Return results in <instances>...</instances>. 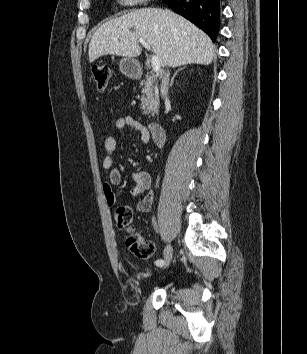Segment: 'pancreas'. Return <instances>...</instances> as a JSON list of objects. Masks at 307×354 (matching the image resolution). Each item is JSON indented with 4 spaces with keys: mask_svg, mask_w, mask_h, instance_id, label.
<instances>
[{
    "mask_svg": "<svg viewBox=\"0 0 307 354\" xmlns=\"http://www.w3.org/2000/svg\"><path fill=\"white\" fill-rule=\"evenodd\" d=\"M140 84L144 85L141 96V109L143 110V114H154L158 106L156 79L154 76H147Z\"/></svg>",
    "mask_w": 307,
    "mask_h": 354,
    "instance_id": "cf45deb5",
    "label": "pancreas"
}]
</instances>
